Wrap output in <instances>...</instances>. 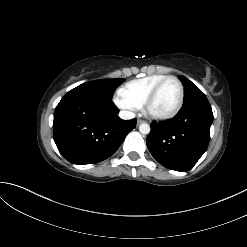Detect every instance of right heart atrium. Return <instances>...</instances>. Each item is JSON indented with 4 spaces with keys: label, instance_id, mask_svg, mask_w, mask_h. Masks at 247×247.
<instances>
[{
    "label": "right heart atrium",
    "instance_id": "obj_1",
    "mask_svg": "<svg viewBox=\"0 0 247 247\" xmlns=\"http://www.w3.org/2000/svg\"><path fill=\"white\" fill-rule=\"evenodd\" d=\"M114 102L118 108L128 113H133L140 108V106L132 102L130 99L124 96L121 92H119L115 96Z\"/></svg>",
    "mask_w": 247,
    "mask_h": 247
}]
</instances>
